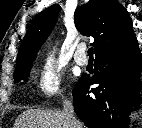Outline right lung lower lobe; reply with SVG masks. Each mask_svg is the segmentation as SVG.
<instances>
[{
    "label": "right lung lower lobe",
    "instance_id": "right-lung-lower-lobe-1",
    "mask_svg": "<svg viewBox=\"0 0 142 128\" xmlns=\"http://www.w3.org/2000/svg\"><path fill=\"white\" fill-rule=\"evenodd\" d=\"M95 71L92 80L82 77L73 90L76 114L90 128H128L131 110L142 103V63L137 40L116 53L95 59ZM90 84L99 86L89 90Z\"/></svg>",
    "mask_w": 142,
    "mask_h": 128
}]
</instances>
